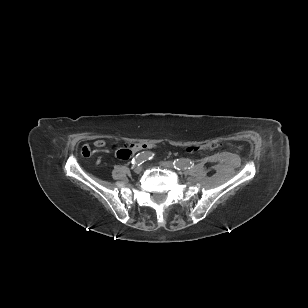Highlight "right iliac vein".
Here are the masks:
<instances>
[{
	"mask_svg": "<svg viewBox=\"0 0 308 308\" xmlns=\"http://www.w3.org/2000/svg\"><path fill=\"white\" fill-rule=\"evenodd\" d=\"M142 170H143V167H142V166H136V167L134 168V171H135L136 173H140Z\"/></svg>",
	"mask_w": 308,
	"mask_h": 308,
	"instance_id": "63e3f726",
	"label": "right iliac vein"
}]
</instances>
